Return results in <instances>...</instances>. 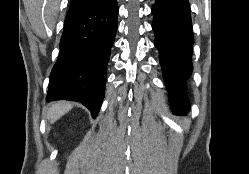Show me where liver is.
I'll list each match as a JSON object with an SVG mask.
<instances>
[{
    "instance_id": "obj_1",
    "label": "liver",
    "mask_w": 249,
    "mask_h": 174,
    "mask_svg": "<svg viewBox=\"0 0 249 174\" xmlns=\"http://www.w3.org/2000/svg\"><path fill=\"white\" fill-rule=\"evenodd\" d=\"M73 104L70 102H57L53 103L47 113V118L51 123H54L63 115H65L69 110H71Z\"/></svg>"
}]
</instances>
